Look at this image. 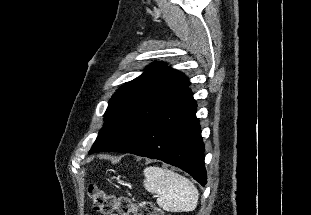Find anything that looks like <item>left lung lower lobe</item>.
Segmentation results:
<instances>
[{
    "label": "left lung lower lobe",
    "instance_id": "0a47b994",
    "mask_svg": "<svg viewBox=\"0 0 311 215\" xmlns=\"http://www.w3.org/2000/svg\"><path fill=\"white\" fill-rule=\"evenodd\" d=\"M196 106L188 87L158 111L119 151L162 160L186 171L205 185L204 144L195 116Z\"/></svg>",
    "mask_w": 311,
    "mask_h": 215
}]
</instances>
